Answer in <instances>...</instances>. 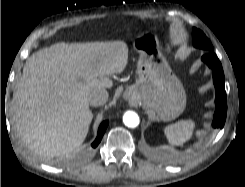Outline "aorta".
Returning <instances> with one entry per match:
<instances>
[{
    "mask_svg": "<svg viewBox=\"0 0 245 187\" xmlns=\"http://www.w3.org/2000/svg\"><path fill=\"white\" fill-rule=\"evenodd\" d=\"M123 122L127 127L135 128L139 125L140 119L137 113L133 111H127L123 115Z\"/></svg>",
    "mask_w": 245,
    "mask_h": 187,
    "instance_id": "1",
    "label": "aorta"
}]
</instances>
